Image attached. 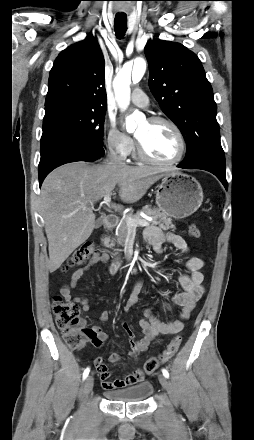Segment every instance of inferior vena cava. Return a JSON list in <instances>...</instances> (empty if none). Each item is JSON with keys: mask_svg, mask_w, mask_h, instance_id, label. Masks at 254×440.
<instances>
[{"mask_svg": "<svg viewBox=\"0 0 254 440\" xmlns=\"http://www.w3.org/2000/svg\"><path fill=\"white\" fill-rule=\"evenodd\" d=\"M107 161L116 165H125L124 160L118 156L113 147L109 150Z\"/></svg>", "mask_w": 254, "mask_h": 440, "instance_id": "obj_1", "label": "inferior vena cava"}]
</instances>
